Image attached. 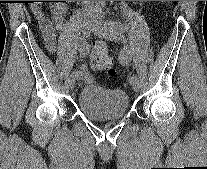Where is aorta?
<instances>
[{
    "label": "aorta",
    "mask_w": 207,
    "mask_h": 169,
    "mask_svg": "<svg viewBox=\"0 0 207 169\" xmlns=\"http://www.w3.org/2000/svg\"><path fill=\"white\" fill-rule=\"evenodd\" d=\"M105 1H96V3L104 4Z\"/></svg>",
    "instance_id": "aorta-1"
}]
</instances>
